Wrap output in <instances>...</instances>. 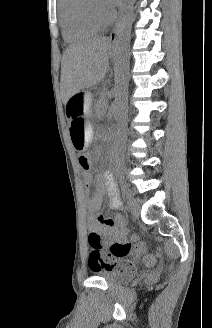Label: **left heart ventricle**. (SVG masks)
Here are the masks:
<instances>
[{"mask_svg": "<svg viewBox=\"0 0 212 328\" xmlns=\"http://www.w3.org/2000/svg\"><path fill=\"white\" fill-rule=\"evenodd\" d=\"M93 7L95 10L102 16L107 17L110 14V11H108L102 4L101 0H93Z\"/></svg>", "mask_w": 212, "mask_h": 328, "instance_id": "1", "label": "left heart ventricle"}]
</instances>
